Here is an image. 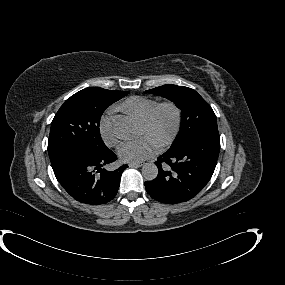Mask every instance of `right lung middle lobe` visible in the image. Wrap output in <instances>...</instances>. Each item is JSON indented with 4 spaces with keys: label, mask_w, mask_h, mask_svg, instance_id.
<instances>
[{
    "label": "right lung middle lobe",
    "mask_w": 285,
    "mask_h": 285,
    "mask_svg": "<svg viewBox=\"0 0 285 285\" xmlns=\"http://www.w3.org/2000/svg\"><path fill=\"white\" fill-rule=\"evenodd\" d=\"M125 95L106 89L86 88L61 106L52 123L48 141L50 159L68 150L99 156L108 151L99 131L104 110Z\"/></svg>",
    "instance_id": "1"
}]
</instances>
